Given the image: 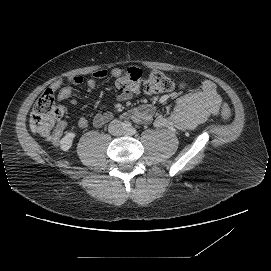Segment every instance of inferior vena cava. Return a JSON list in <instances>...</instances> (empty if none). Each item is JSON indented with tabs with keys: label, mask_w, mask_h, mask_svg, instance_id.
<instances>
[{
	"label": "inferior vena cava",
	"mask_w": 271,
	"mask_h": 271,
	"mask_svg": "<svg viewBox=\"0 0 271 271\" xmlns=\"http://www.w3.org/2000/svg\"><path fill=\"white\" fill-rule=\"evenodd\" d=\"M108 130L111 134L113 135H119L123 132L124 130V125L121 121L119 120H113L109 123L108 125Z\"/></svg>",
	"instance_id": "inferior-vena-cava-1"
}]
</instances>
